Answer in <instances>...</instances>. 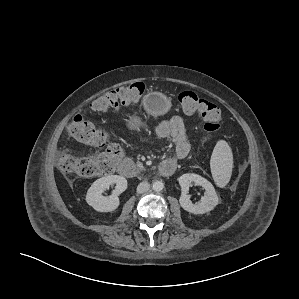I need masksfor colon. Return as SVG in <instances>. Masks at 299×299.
I'll use <instances>...</instances> for the list:
<instances>
[{
  "instance_id": "colon-1",
  "label": "colon",
  "mask_w": 299,
  "mask_h": 299,
  "mask_svg": "<svg viewBox=\"0 0 299 299\" xmlns=\"http://www.w3.org/2000/svg\"><path fill=\"white\" fill-rule=\"evenodd\" d=\"M145 86L141 82L119 87L96 98L91 107L97 112L115 110L121 106L138 102L143 96ZM178 100L182 110L188 114H198L204 121V130L210 136L219 130L222 122L220 108L211 101L201 98L193 91H183ZM72 138L85 145L104 148L100 153L88 156L63 155L59 168L66 173L81 177L107 175L114 171L123 156L121 145L111 139L108 132L76 115L68 126Z\"/></svg>"
}]
</instances>
